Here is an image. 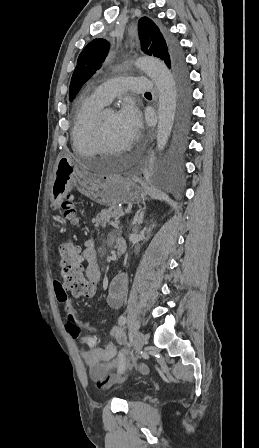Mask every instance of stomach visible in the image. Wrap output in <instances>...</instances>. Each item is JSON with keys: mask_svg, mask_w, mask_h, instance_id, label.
<instances>
[{"mask_svg": "<svg viewBox=\"0 0 259 448\" xmlns=\"http://www.w3.org/2000/svg\"><path fill=\"white\" fill-rule=\"evenodd\" d=\"M76 182V164L71 156H60L57 160L54 178L51 186V206L60 208L65 196Z\"/></svg>", "mask_w": 259, "mask_h": 448, "instance_id": "1", "label": "stomach"}]
</instances>
